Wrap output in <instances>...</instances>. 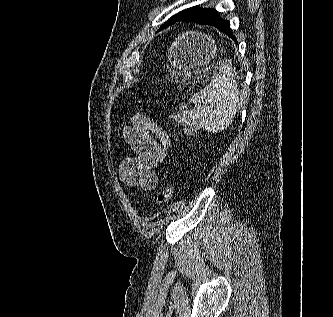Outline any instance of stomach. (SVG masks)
Listing matches in <instances>:
<instances>
[{
    "label": "stomach",
    "instance_id": "obj_1",
    "mask_svg": "<svg viewBox=\"0 0 333 317\" xmlns=\"http://www.w3.org/2000/svg\"><path fill=\"white\" fill-rule=\"evenodd\" d=\"M214 41L202 33L189 32L178 36L169 48L170 77L177 82V95H194V88H203L213 81V74H221L223 62H215Z\"/></svg>",
    "mask_w": 333,
    "mask_h": 317
}]
</instances>
